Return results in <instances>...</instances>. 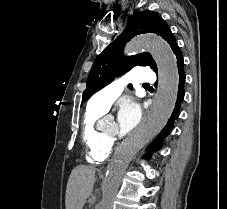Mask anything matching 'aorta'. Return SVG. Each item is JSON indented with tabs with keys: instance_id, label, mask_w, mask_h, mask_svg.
<instances>
[{
	"instance_id": "762f6f07",
	"label": "aorta",
	"mask_w": 227,
	"mask_h": 209,
	"mask_svg": "<svg viewBox=\"0 0 227 209\" xmlns=\"http://www.w3.org/2000/svg\"><path fill=\"white\" fill-rule=\"evenodd\" d=\"M148 51L158 68V93L153 110L137 137L122 145L107 168L102 186V200L97 209H112L113 201L121 183L122 176L135 154L166 125L175 105L178 91V68L175 55L162 38L147 34L134 38L125 48L132 54Z\"/></svg>"
}]
</instances>
